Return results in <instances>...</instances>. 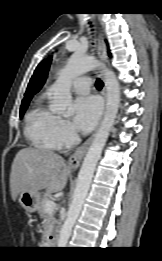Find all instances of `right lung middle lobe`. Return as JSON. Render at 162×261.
I'll list each match as a JSON object with an SVG mask.
<instances>
[{
  "mask_svg": "<svg viewBox=\"0 0 162 261\" xmlns=\"http://www.w3.org/2000/svg\"><path fill=\"white\" fill-rule=\"evenodd\" d=\"M29 102L30 100H27V101H23L22 104H21V108H20V117H22L29 105Z\"/></svg>",
  "mask_w": 162,
  "mask_h": 261,
  "instance_id": "1",
  "label": "right lung middle lobe"
}]
</instances>
